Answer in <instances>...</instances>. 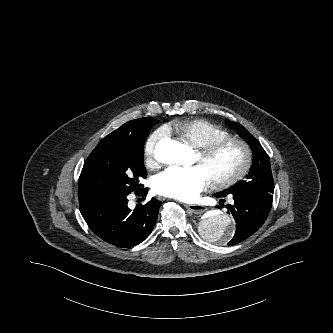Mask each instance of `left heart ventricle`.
<instances>
[{"label": "left heart ventricle", "instance_id": "left-heart-ventricle-1", "mask_svg": "<svg viewBox=\"0 0 333 333\" xmlns=\"http://www.w3.org/2000/svg\"><path fill=\"white\" fill-rule=\"evenodd\" d=\"M241 161V152L236 146H228L217 152L207 160L196 158L197 164L203 167L210 179L222 176L238 167Z\"/></svg>", "mask_w": 333, "mask_h": 333}]
</instances>
